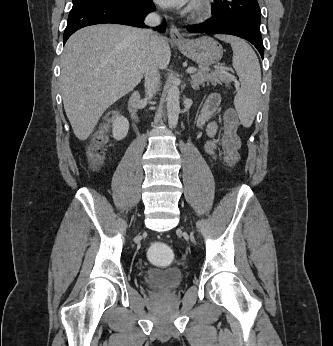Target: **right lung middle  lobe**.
<instances>
[{
    "instance_id": "dd1d6c3e",
    "label": "right lung middle lobe",
    "mask_w": 333,
    "mask_h": 346,
    "mask_svg": "<svg viewBox=\"0 0 333 346\" xmlns=\"http://www.w3.org/2000/svg\"><path fill=\"white\" fill-rule=\"evenodd\" d=\"M132 0H73V7L72 9L88 4V3H95V2H116L118 4L126 5L129 4Z\"/></svg>"
}]
</instances>
